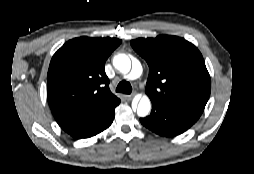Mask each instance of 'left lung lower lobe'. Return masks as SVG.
<instances>
[{
	"label": "left lung lower lobe",
	"mask_w": 254,
	"mask_h": 174,
	"mask_svg": "<svg viewBox=\"0 0 254 174\" xmlns=\"http://www.w3.org/2000/svg\"><path fill=\"white\" fill-rule=\"evenodd\" d=\"M152 111L140 122L158 135L173 137L188 130L200 115L185 109L174 108L160 101H152Z\"/></svg>",
	"instance_id": "obj_1"
}]
</instances>
